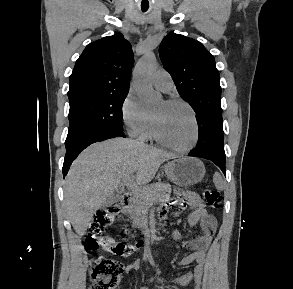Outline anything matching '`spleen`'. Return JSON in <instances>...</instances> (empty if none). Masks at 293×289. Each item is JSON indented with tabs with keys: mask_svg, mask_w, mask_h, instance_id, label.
<instances>
[{
	"mask_svg": "<svg viewBox=\"0 0 293 289\" xmlns=\"http://www.w3.org/2000/svg\"><path fill=\"white\" fill-rule=\"evenodd\" d=\"M213 182L215 184V187L218 190H223L224 189L225 183H224V181L222 179V176L218 172H215V174L213 176Z\"/></svg>",
	"mask_w": 293,
	"mask_h": 289,
	"instance_id": "3e777b00",
	"label": "spleen"
}]
</instances>
